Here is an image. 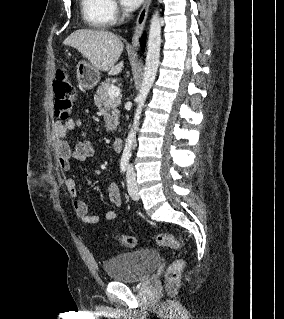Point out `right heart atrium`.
I'll return each mask as SVG.
<instances>
[{
    "label": "right heart atrium",
    "instance_id": "right-heart-atrium-1",
    "mask_svg": "<svg viewBox=\"0 0 284 319\" xmlns=\"http://www.w3.org/2000/svg\"><path fill=\"white\" fill-rule=\"evenodd\" d=\"M108 10L112 21H115L119 15V9L114 0H108Z\"/></svg>",
    "mask_w": 284,
    "mask_h": 319
}]
</instances>
